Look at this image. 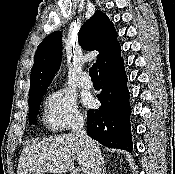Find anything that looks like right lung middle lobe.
Listing matches in <instances>:
<instances>
[{
	"label": "right lung middle lobe",
	"instance_id": "right-lung-middle-lobe-1",
	"mask_svg": "<svg viewBox=\"0 0 175 174\" xmlns=\"http://www.w3.org/2000/svg\"><path fill=\"white\" fill-rule=\"evenodd\" d=\"M42 96L43 95L29 101V124H36V118L42 100Z\"/></svg>",
	"mask_w": 175,
	"mask_h": 174
}]
</instances>
